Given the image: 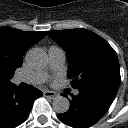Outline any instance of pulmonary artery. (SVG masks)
<instances>
[{
	"label": "pulmonary artery",
	"mask_w": 128,
	"mask_h": 128,
	"mask_svg": "<svg viewBox=\"0 0 128 128\" xmlns=\"http://www.w3.org/2000/svg\"><path fill=\"white\" fill-rule=\"evenodd\" d=\"M49 66L52 71L60 69L66 60V53L63 49L58 47H51L48 50ZM48 74L43 71L31 72L27 74H20L14 78L15 83L41 84L47 80ZM74 95L79 94V90L73 91Z\"/></svg>",
	"instance_id": "pulmonary-artery-1"
}]
</instances>
